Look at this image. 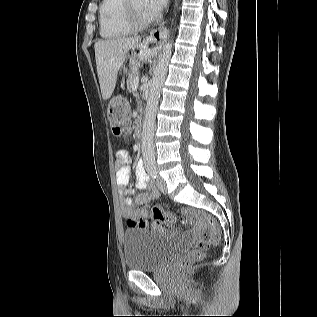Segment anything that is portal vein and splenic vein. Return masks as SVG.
Listing matches in <instances>:
<instances>
[{
  "label": "portal vein and splenic vein",
  "mask_w": 317,
  "mask_h": 317,
  "mask_svg": "<svg viewBox=\"0 0 317 317\" xmlns=\"http://www.w3.org/2000/svg\"><path fill=\"white\" fill-rule=\"evenodd\" d=\"M138 85H139V77L137 76L134 81L133 91L137 90Z\"/></svg>",
  "instance_id": "obj_1"
}]
</instances>
